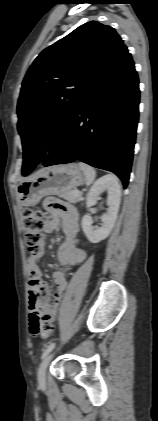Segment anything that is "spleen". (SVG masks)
Instances as JSON below:
<instances>
[{
    "instance_id": "1",
    "label": "spleen",
    "mask_w": 158,
    "mask_h": 421,
    "mask_svg": "<svg viewBox=\"0 0 158 421\" xmlns=\"http://www.w3.org/2000/svg\"><path fill=\"white\" fill-rule=\"evenodd\" d=\"M78 165H79V168L82 170V172L85 175L86 185L87 186L91 185L96 178L95 169L93 167L85 164V163H82V162H80Z\"/></svg>"
}]
</instances>
